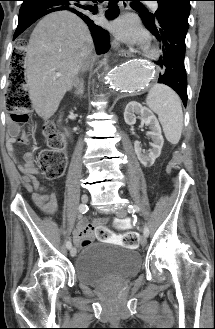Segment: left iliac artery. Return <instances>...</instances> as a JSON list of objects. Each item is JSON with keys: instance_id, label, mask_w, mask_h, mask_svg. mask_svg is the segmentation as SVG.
I'll use <instances>...</instances> for the list:
<instances>
[{"instance_id": "44dca946", "label": "left iliac artery", "mask_w": 215, "mask_h": 329, "mask_svg": "<svg viewBox=\"0 0 215 329\" xmlns=\"http://www.w3.org/2000/svg\"><path fill=\"white\" fill-rule=\"evenodd\" d=\"M139 211H140V208L137 205H129L128 206V212L129 213H135V212H139ZM143 233L146 237L149 235V228L147 227V225L144 226Z\"/></svg>"}]
</instances>
